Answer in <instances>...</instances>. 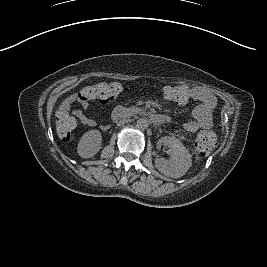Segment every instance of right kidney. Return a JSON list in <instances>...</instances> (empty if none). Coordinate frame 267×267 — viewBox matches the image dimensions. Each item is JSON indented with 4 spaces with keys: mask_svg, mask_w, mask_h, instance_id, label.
Here are the masks:
<instances>
[{
    "mask_svg": "<svg viewBox=\"0 0 267 267\" xmlns=\"http://www.w3.org/2000/svg\"><path fill=\"white\" fill-rule=\"evenodd\" d=\"M101 144V132L97 129L89 130L81 137L77 146V153L81 158H91L99 152Z\"/></svg>",
    "mask_w": 267,
    "mask_h": 267,
    "instance_id": "1",
    "label": "right kidney"
}]
</instances>
